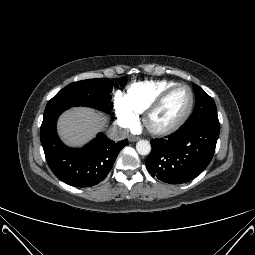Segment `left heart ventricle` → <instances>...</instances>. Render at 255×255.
Wrapping results in <instances>:
<instances>
[{
  "label": "left heart ventricle",
  "mask_w": 255,
  "mask_h": 255,
  "mask_svg": "<svg viewBox=\"0 0 255 255\" xmlns=\"http://www.w3.org/2000/svg\"><path fill=\"white\" fill-rule=\"evenodd\" d=\"M190 103L187 89L179 88L172 92L161 107L150 118V124L156 128L168 127L177 122L186 112Z\"/></svg>",
  "instance_id": "left-heart-ventricle-1"
}]
</instances>
